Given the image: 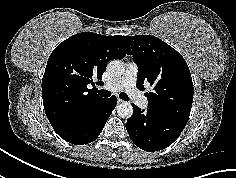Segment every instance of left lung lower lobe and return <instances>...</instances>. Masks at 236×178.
Instances as JSON below:
<instances>
[{
	"instance_id": "left-lung-lower-lobe-1",
	"label": "left lung lower lobe",
	"mask_w": 236,
	"mask_h": 178,
	"mask_svg": "<svg viewBox=\"0 0 236 178\" xmlns=\"http://www.w3.org/2000/svg\"><path fill=\"white\" fill-rule=\"evenodd\" d=\"M133 105V115L125 124L131 140L142 150L153 152L170 146L181 134L188 120Z\"/></svg>"
}]
</instances>
